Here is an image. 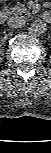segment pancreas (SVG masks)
<instances>
[{
  "label": "pancreas",
  "mask_w": 51,
  "mask_h": 153,
  "mask_svg": "<svg viewBox=\"0 0 51 153\" xmlns=\"http://www.w3.org/2000/svg\"><path fill=\"white\" fill-rule=\"evenodd\" d=\"M8 13L10 15H18V14H26L29 15V11L27 10L26 6L24 4H16L12 6L9 10Z\"/></svg>",
  "instance_id": "1"
}]
</instances>
